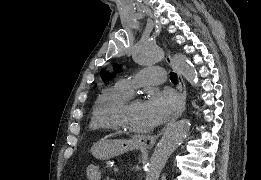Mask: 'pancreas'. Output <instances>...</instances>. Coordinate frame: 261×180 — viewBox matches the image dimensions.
Instances as JSON below:
<instances>
[{
    "instance_id": "1",
    "label": "pancreas",
    "mask_w": 261,
    "mask_h": 180,
    "mask_svg": "<svg viewBox=\"0 0 261 180\" xmlns=\"http://www.w3.org/2000/svg\"><path fill=\"white\" fill-rule=\"evenodd\" d=\"M110 162L109 160H106V162L103 163V166H104V170H110Z\"/></svg>"
}]
</instances>
